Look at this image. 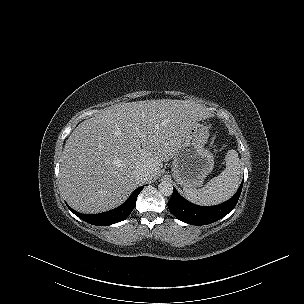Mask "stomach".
<instances>
[{
	"label": "stomach",
	"mask_w": 304,
	"mask_h": 304,
	"mask_svg": "<svg viewBox=\"0 0 304 304\" xmlns=\"http://www.w3.org/2000/svg\"><path fill=\"white\" fill-rule=\"evenodd\" d=\"M208 138L209 127L195 123L189 130L185 143L174 156L172 175L181 187L195 189L201 186L213 170L214 157L205 148Z\"/></svg>",
	"instance_id": "obj_1"
}]
</instances>
